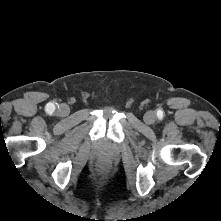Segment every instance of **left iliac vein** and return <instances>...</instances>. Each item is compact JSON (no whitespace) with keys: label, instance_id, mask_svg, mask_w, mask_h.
I'll list each match as a JSON object with an SVG mask.
<instances>
[{"label":"left iliac vein","instance_id":"4c4485c4","mask_svg":"<svg viewBox=\"0 0 221 221\" xmlns=\"http://www.w3.org/2000/svg\"><path fill=\"white\" fill-rule=\"evenodd\" d=\"M144 121L146 124H153L156 121V113L154 111H148L144 115Z\"/></svg>","mask_w":221,"mask_h":221}]
</instances>
